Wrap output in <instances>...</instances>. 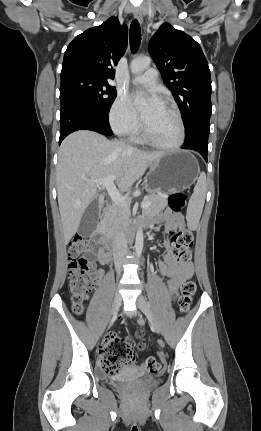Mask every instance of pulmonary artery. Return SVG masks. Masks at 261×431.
I'll return each mask as SVG.
<instances>
[{
    "label": "pulmonary artery",
    "mask_w": 261,
    "mask_h": 431,
    "mask_svg": "<svg viewBox=\"0 0 261 431\" xmlns=\"http://www.w3.org/2000/svg\"><path fill=\"white\" fill-rule=\"evenodd\" d=\"M158 71L154 68L148 69L145 73L135 76L133 82L138 85L150 86L157 82Z\"/></svg>",
    "instance_id": "1"
}]
</instances>
